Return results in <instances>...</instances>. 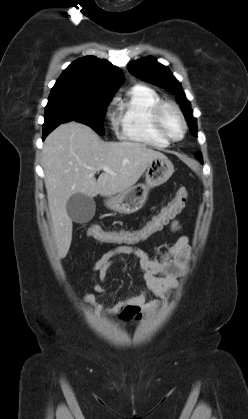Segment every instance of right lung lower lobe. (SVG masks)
I'll return each instance as SVG.
<instances>
[{
	"instance_id": "98d812e1",
	"label": "right lung lower lobe",
	"mask_w": 248,
	"mask_h": 419,
	"mask_svg": "<svg viewBox=\"0 0 248 419\" xmlns=\"http://www.w3.org/2000/svg\"><path fill=\"white\" fill-rule=\"evenodd\" d=\"M57 126L43 128V139Z\"/></svg>"
}]
</instances>
